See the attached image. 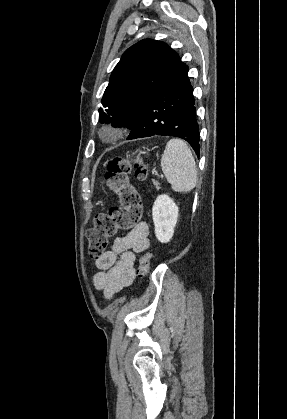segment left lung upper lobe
Segmentation results:
<instances>
[{
	"label": "left lung upper lobe",
	"instance_id": "left-lung-upper-lobe-1",
	"mask_svg": "<svg viewBox=\"0 0 287 419\" xmlns=\"http://www.w3.org/2000/svg\"><path fill=\"white\" fill-rule=\"evenodd\" d=\"M186 68L164 42L144 39L131 46L111 74L99 121L131 130L144 104L171 85Z\"/></svg>",
	"mask_w": 287,
	"mask_h": 419
}]
</instances>
